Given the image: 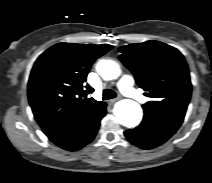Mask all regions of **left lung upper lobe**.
<instances>
[{
    "mask_svg": "<svg viewBox=\"0 0 212 183\" xmlns=\"http://www.w3.org/2000/svg\"><path fill=\"white\" fill-rule=\"evenodd\" d=\"M119 52L121 62L152 98L143 105L144 112L182 123L192 88L183 55L159 41L122 46Z\"/></svg>",
    "mask_w": 212,
    "mask_h": 183,
    "instance_id": "5c2ea615",
    "label": "left lung upper lobe"
}]
</instances>
